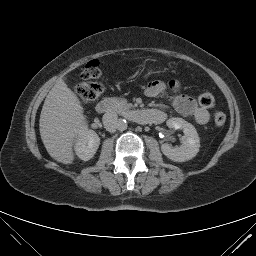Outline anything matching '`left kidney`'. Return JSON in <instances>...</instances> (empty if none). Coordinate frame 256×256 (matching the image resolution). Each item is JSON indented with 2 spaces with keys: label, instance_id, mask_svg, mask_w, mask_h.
I'll return each mask as SVG.
<instances>
[{
  "label": "left kidney",
  "instance_id": "1",
  "mask_svg": "<svg viewBox=\"0 0 256 256\" xmlns=\"http://www.w3.org/2000/svg\"><path fill=\"white\" fill-rule=\"evenodd\" d=\"M169 128L182 129L184 136L180 146L162 144L163 154L174 162H185L194 158L200 147V140L195 127L182 118H171L166 122Z\"/></svg>",
  "mask_w": 256,
  "mask_h": 256
}]
</instances>
